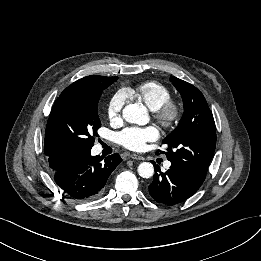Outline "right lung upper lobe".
<instances>
[{
  "instance_id": "right-lung-upper-lobe-1",
  "label": "right lung upper lobe",
  "mask_w": 261,
  "mask_h": 261,
  "mask_svg": "<svg viewBox=\"0 0 261 261\" xmlns=\"http://www.w3.org/2000/svg\"><path fill=\"white\" fill-rule=\"evenodd\" d=\"M105 78L104 76H98V75H91L84 77L76 82L78 83H87V84H94L98 82L99 80ZM48 162L49 166L52 169V171H57L64 167L66 164L77 158V155L73 154H48Z\"/></svg>"
}]
</instances>
